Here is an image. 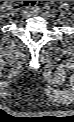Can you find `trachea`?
I'll use <instances>...</instances> for the list:
<instances>
[{
  "label": "trachea",
  "mask_w": 74,
  "mask_h": 122,
  "mask_svg": "<svg viewBox=\"0 0 74 122\" xmlns=\"http://www.w3.org/2000/svg\"><path fill=\"white\" fill-rule=\"evenodd\" d=\"M24 4H25V6H27V5H31V6H34L35 4H36V1H24Z\"/></svg>",
  "instance_id": "1"
}]
</instances>
